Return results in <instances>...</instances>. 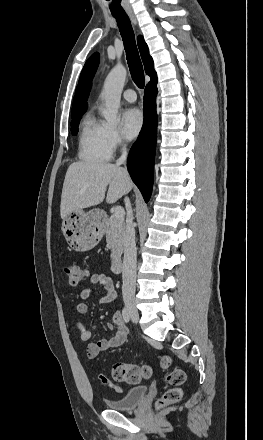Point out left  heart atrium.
I'll return each instance as SVG.
<instances>
[{
    "instance_id": "obj_1",
    "label": "left heart atrium",
    "mask_w": 263,
    "mask_h": 440,
    "mask_svg": "<svg viewBox=\"0 0 263 440\" xmlns=\"http://www.w3.org/2000/svg\"><path fill=\"white\" fill-rule=\"evenodd\" d=\"M143 114L138 108H129L122 114V130L128 139L135 138L143 126Z\"/></svg>"
}]
</instances>
